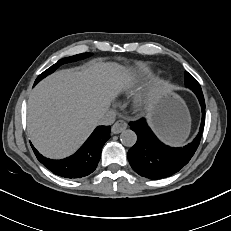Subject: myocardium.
I'll list each match as a JSON object with an SVG mask.
<instances>
[{"label":"myocardium","instance_id":"1","mask_svg":"<svg viewBox=\"0 0 231 231\" xmlns=\"http://www.w3.org/2000/svg\"><path fill=\"white\" fill-rule=\"evenodd\" d=\"M159 92V87H154L145 94L136 96L132 101L134 110L142 112L144 111L154 100Z\"/></svg>","mask_w":231,"mask_h":231}]
</instances>
